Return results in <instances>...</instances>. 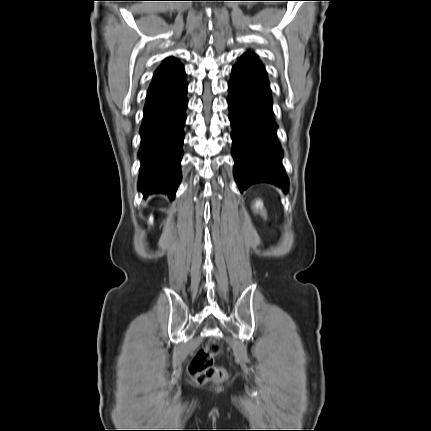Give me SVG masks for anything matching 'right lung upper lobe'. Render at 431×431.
Returning a JSON list of instances; mask_svg holds the SVG:
<instances>
[{
	"instance_id": "right-lung-upper-lobe-1",
	"label": "right lung upper lobe",
	"mask_w": 431,
	"mask_h": 431,
	"mask_svg": "<svg viewBox=\"0 0 431 431\" xmlns=\"http://www.w3.org/2000/svg\"><path fill=\"white\" fill-rule=\"evenodd\" d=\"M185 76L183 66L174 57L167 58L157 69L147 96L154 95Z\"/></svg>"
}]
</instances>
